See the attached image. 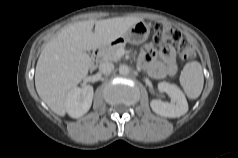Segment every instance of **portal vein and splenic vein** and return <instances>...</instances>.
Instances as JSON below:
<instances>
[{
  "label": "portal vein and splenic vein",
  "instance_id": "portal-vein-and-splenic-vein-1",
  "mask_svg": "<svg viewBox=\"0 0 238 158\" xmlns=\"http://www.w3.org/2000/svg\"><path fill=\"white\" fill-rule=\"evenodd\" d=\"M123 55V52L122 51H118V56L121 57Z\"/></svg>",
  "mask_w": 238,
  "mask_h": 158
}]
</instances>
